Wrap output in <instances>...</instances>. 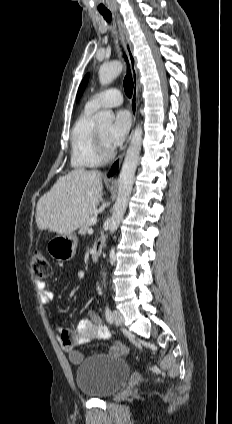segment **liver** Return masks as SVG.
<instances>
[{
	"label": "liver",
	"mask_w": 232,
	"mask_h": 424,
	"mask_svg": "<svg viewBox=\"0 0 232 424\" xmlns=\"http://www.w3.org/2000/svg\"><path fill=\"white\" fill-rule=\"evenodd\" d=\"M102 173L78 168L60 177L37 203L39 229L71 234L93 214L102 197Z\"/></svg>",
	"instance_id": "liver-1"
}]
</instances>
